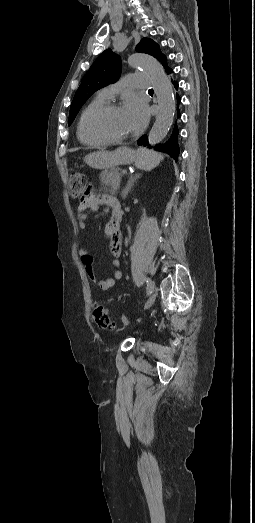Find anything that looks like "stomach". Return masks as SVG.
I'll list each match as a JSON object with an SVG mask.
<instances>
[{
	"instance_id": "1",
	"label": "stomach",
	"mask_w": 255,
	"mask_h": 523,
	"mask_svg": "<svg viewBox=\"0 0 255 523\" xmlns=\"http://www.w3.org/2000/svg\"><path fill=\"white\" fill-rule=\"evenodd\" d=\"M138 152H134L131 148L121 146L115 152L105 154L101 151H90L86 159V164L89 167H96V170H110L115 166H126L132 164L138 158Z\"/></svg>"
}]
</instances>
